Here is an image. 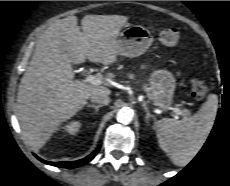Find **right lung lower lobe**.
I'll return each instance as SVG.
<instances>
[{
    "label": "right lung lower lobe",
    "instance_id": "right-lung-lower-lobe-1",
    "mask_svg": "<svg viewBox=\"0 0 230 186\" xmlns=\"http://www.w3.org/2000/svg\"><path fill=\"white\" fill-rule=\"evenodd\" d=\"M99 151V148H97L93 153H91L90 155H88L87 157L78 160V161H73V162H48L45 161L41 158H38L40 161L48 164V165H53L56 167H62V168H76V167H80L84 164H86L87 162H89L90 160H92L95 155L97 154V152Z\"/></svg>",
    "mask_w": 230,
    "mask_h": 186
}]
</instances>
